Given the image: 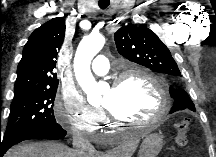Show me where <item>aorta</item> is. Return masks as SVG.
I'll list each match as a JSON object with an SVG mask.
<instances>
[{
  "label": "aorta",
  "instance_id": "aorta-1",
  "mask_svg": "<svg viewBox=\"0 0 216 157\" xmlns=\"http://www.w3.org/2000/svg\"><path fill=\"white\" fill-rule=\"evenodd\" d=\"M104 43L105 39L102 35L84 37L79 43L74 57L75 77L91 104L101 101V86L95 81L90 65L92 59L103 48Z\"/></svg>",
  "mask_w": 216,
  "mask_h": 157
}]
</instances>
